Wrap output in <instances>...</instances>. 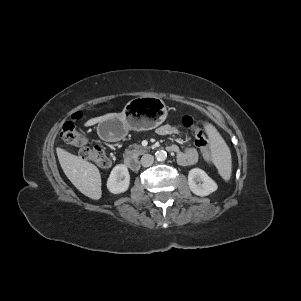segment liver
<instances>
[{"instance_id": "obj_1", "label": "liver", "mask_w": 301, "mask_h": 301, "mask_svg": "<svg viewBox=\"0 0 301 301\" xmlns=\"http://www.w3.org/2000/svg\"><path fill=\"white\" fill-rule=\"evenodd\" d=\"M122 113H108L88 120L85 126H92ZM63 172L72 184L85 196L98 200L101 198V176L98 168L81 157L75 156L62 148L56 149Z\"/></svg>"}]
</instances>
